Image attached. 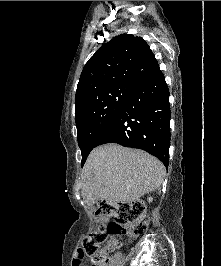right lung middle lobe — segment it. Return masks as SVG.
Returning <instances> with one entry per match:
<instances>
[{"label":"right lung middle lobe","mask_w":221,"mask_h":266,"mask_svg":"<svg viewBox=\"0 0 221 266\" xmlns=\"http://www.w3.org/2000/svg\"><path fill=\"white\" fill-rule=\"evenodd\" d=\"M135 87L120 85L95 91L84 97L76 109L77 140L82 165L99 136L123 109Z\"/></svg>","instance_id":"obj_1"}]
</instances>
